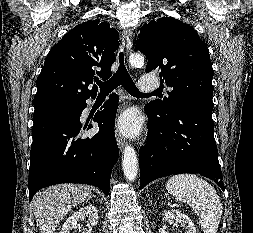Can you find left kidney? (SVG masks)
I'll return each mask as SVG.
<instances>
[{"mask_svg": "<svg viewBox=\"0 0 253 233\" xmlns=\"http://www.w3.org/2000/svg\"><path fill=\"white\" fill-rule=\"evenodd\" d=\"M163 220H176V222L183 226V228L186 230L185 233H197L192 220L187 215L182 212H179L178 210H165L163 212Z\"/></svg>", "mask_w": 253, "mask_h": 233, "instance_id": "5707ae66", "label": "left kidney"}]
</instances>
